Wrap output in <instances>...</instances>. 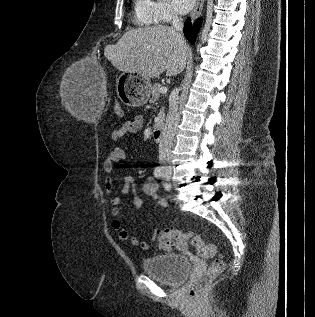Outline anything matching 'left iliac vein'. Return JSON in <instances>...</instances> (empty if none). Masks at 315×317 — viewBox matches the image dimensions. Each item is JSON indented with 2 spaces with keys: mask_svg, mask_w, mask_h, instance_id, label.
<instances>
[{
  "mask_svg": "<svg viewBox=\"0 0 315 317\" xmlns=\"http://www.w3.org/2000/svg\"><path fill=\"white\" fill-rule=\"evenodd\" d=\"M166 189H170V185L169 184H165Z\"/></svg>",
  "mask_w": 315,
  "mask_h": 317,
  "instance_id": "obj_1",
  "label": "left iliac vein"
}]
</instances>
